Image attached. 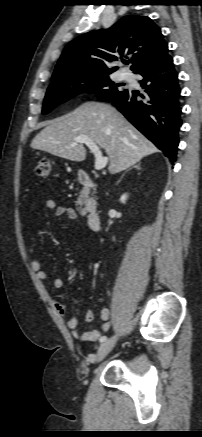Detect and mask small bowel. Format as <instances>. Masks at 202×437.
I'll use <instances>...</instances> for the list:
<instances>
[{"mask_svg":"<svg viewBox=\"0 0 202 437\" xmlns=\"http://www.w3.org/2000/svg\"><path fill=\"white\" fill-rule=\"evenodd\" d=\"M46 207L50 210H54L55 216L57 217H66L71 220L78 219V213L71 207H67L64 205H58L55 200L48 199L46 201ZM30 253L35 254V250L33 247H30ZM31 268L35 274V276L39 280H46L48 275L42 268V262L39 258L34 257L31 260ZM63 280L61 278H55L53 280V287L55 289H60L63 287ZM54 307L57 310L59 314L62 316L66 315L67 308L66 306L60 302V301H54ZM83 318L86 322H92L94 319V313L91 309H85L83 311ZM100 318H101V324L94 328L91 331L86 332H80L78 330L79 325V317L77 316H71L67 320V326L71 330L72 336L76 339H80L83 341H95L99 338L102 332H107L110 327L111 323L109 321L110 319V312L107 308H103L100 310Z\"/></svg>","mask_w":202,"mask_h":437,"instance_id":"c3829d8e","label":"small bowel"}]
</instances>
